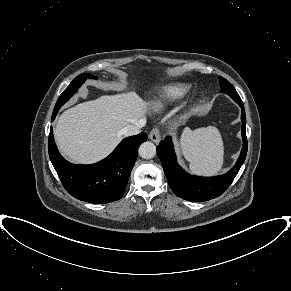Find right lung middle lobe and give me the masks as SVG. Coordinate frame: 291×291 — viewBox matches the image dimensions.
<instances>
[{
  "mask_svg": "<svg viewBox=\"0 0 291 291\" xmlns=\"http://www.w3.org/2000/svg\"><path fill=\"white\" fill-rule=\"evenodd\" d=\"M87 77L96 79L95 76L91 74H87V73H83L77 76L58 98L53 110L52 117H55L57 115L60 107L64 105L65 102H67L72 97V95L77 91V89L81 86V84L84 83Z\"/></svg>",
  "mask_w": 291,
  "mask_h": 291,
  "instance_id": "right-lung-middle-lobe-1",
  "label": "right lung middle lobe"
}]
</instances>
